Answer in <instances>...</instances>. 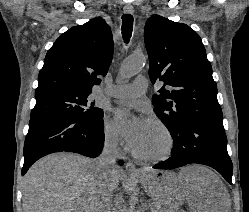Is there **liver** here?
<instances>
[{"label": "liver", "mask_w": 249, "mask_h": 212, "mask_svg": "<svg viewBox=\"0 0 249 212\" xmlns=\"http://www.w3.org/2000/svg\"><path fill=\"white\" fill-rule=\"evenodd\" d=\"M98 170L94 160L79 154L41 158L23 178V212H101ZM111 178V190H116L121 178L118 168ZM135 178L158 206L180 208L186 200L190 212H231L228 190L205 166H185L179 174L143 168Z\"/></svg>", "instance_id": "6515ba94"}]
</instances>
